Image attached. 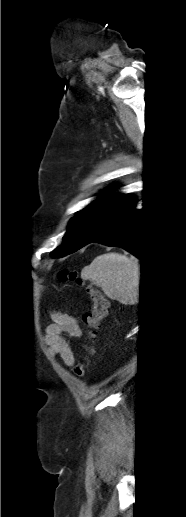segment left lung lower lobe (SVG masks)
<instances>
[{
    "label": "left lung lower lobe",
    "mask_w": 186,
    "mask_h": 517,
    "mask_svg": "<svg viewBox=\"0 0 186 517\" xmlns=\"http://www.w3.org/2000/svg\"><path fill=\"white\" fill-rule=\"evenodd\" d=\"M136 201L124 194L95 225L87 244L97 242L107 246L121 247L144 261V251L139 244V211Z\"/></svg>",
    "instance_id": "0a47b994"
}]
</instances>
